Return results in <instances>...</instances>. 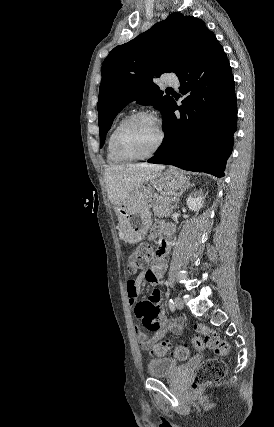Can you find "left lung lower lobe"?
<instances>
[{
	"label": "left lung lower lobe",
	"mask_w": 274,
	"mask_h": 427,
	"mask_svg": "<svg viewBox=\"0 0 274 427\" xmlns=\"http://www.w3.org/2000/svg\"><path fill=\"white\" fill-rule=\"evenodd\" d=\"M178 78L182 105L170 102L163 115L165 139L148 162L220 178L233 149L237 106L231 68L216 37L201 46Z\"/></svg>",
	"instance_id": "obj_1"
}]
</instances>
